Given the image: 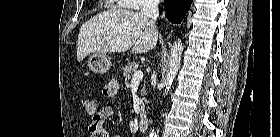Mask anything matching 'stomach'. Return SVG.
<instances>
[{"instance_id":"0dacf381","label":"stomach","mask_w":280,"mask_h":137,"mask_svg":"<svg viewBox=\"0 0 280 137\" xmlns=\"http://www.w3.org/2000/svg\"><path fill=\"white\" fill-rule=\"evenodd\" d=\"M91 71L97 74H105L111 67V60L106 53H94L88 59Z\"/></svg>"}]
</instances>
